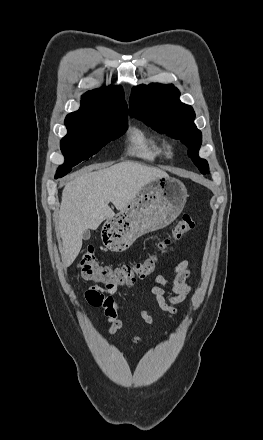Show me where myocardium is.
Listing matches in <instances>:
<instances>
[{
  "mask_svg": "<svg viewBox=\"0 0 263 440\" xmlns=\"http://www.w3.org/2000/svg\"><path fill=\"white\" fill-rule=\"evenodd\" d=\"M166 153L168 156H172L174 153V145L172 143L166 144Z\"/></svg>",
  "mask_w": 263,
  "mask_h": 440,
  "instance_id": "f54148a6",
  "label": "myocardium"
}]
</instances>
